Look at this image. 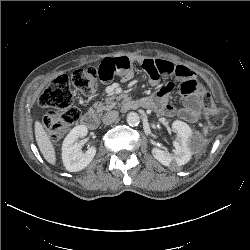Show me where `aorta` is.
Returning a JSON list of instances; mask_svg holds the SVG:
<instances>
[{"instance_id":"1","label":"aorta","mask_w":250,"mask_h":250,"mask_svg":"<svg viewBox=\"0 0 250 250\" xmlns=\"http://www.w3.org/2000/svg\"><path fill=\"white\" fill-rule=\"evenodd\" d=\"M126 121L130 126H136L140 122V117L136 112H129Z\"/></svg>"}]
</instances>
